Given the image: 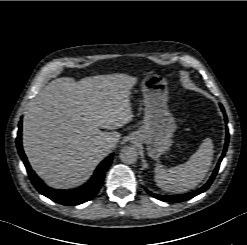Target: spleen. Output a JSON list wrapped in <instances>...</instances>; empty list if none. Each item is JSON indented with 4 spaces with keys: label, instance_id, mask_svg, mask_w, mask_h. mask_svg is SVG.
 I'll list each match as a JSON object with an SVG mask.
<instances>
[{
    "label": "spleen",
    "instance_id": "1",
    "mask_svg": "<svg viewBox=\"0 0 247 245\" xmlns=\"http://www.w3.org/2000/svg\"><path fill=\"white\" fill-rule=\"evenodd\" d=\"M213 153V143L210 138H206L186 163L169 169L158 163L155 167L157 185L164 191L173 193L195 188L208 173Z\"/></svg>",
    "mask_w": 247,
    "mask_h": 245
}]
</instances>
